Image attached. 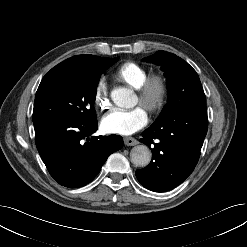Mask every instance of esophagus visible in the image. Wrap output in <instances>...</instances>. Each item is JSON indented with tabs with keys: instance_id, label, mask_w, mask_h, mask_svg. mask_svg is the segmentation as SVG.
Masks as SVG:
<instances>
[{
	"instance_id": "obj_1",
	"label": "esophagus",
	"mask_w": 247,
	"mask_h": 247,
	"mask_svg": "<svg viewBox=\"0 0 247 247\" xmlns=\"http://www.w3.org/2000/svg\"><path fill=\"white\" fill-rule=\"evenodd\" d=\"M124 143L127 146H135V145L138 144V141L133 137H125L124 138Z\"/></svg>"
}]
</instances>
